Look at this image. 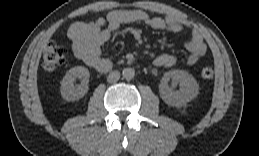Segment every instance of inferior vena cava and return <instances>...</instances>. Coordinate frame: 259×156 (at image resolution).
Segmentation results:
<instances>
[{
    "label": "inferior vena cava",
    "instance_id": "1",
    "mask_svg": "<svg viewBox=\"0 0 259 156\" xmlns=\"http://www.w3.org/2000/svg\"><path fill=\"white\" fill-rule=\"evenodd\" d=\"M120 78V73L118 71H112L108 77H107V81L110 83H114L117 82Z\"/></svg>",
    "mask_w": 259,
    "mask_h": 156
}]
</instances>
